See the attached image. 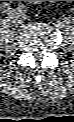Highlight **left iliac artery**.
Wrapping results in <instances>:
<instances>
[{"instance_id":"44dca946","label":"left iliac artery","mask_w":74,"mask_h":122,"mask_svg":"<svg viewBox=\"0 0 74 122\" xmlns=\"http://www.w3.org/2000/svg\"><path fill=\"white\" fill-rule=\"evenodd\" d=\"M19 11L22 12V13H27L28 12V7L22 5V6H20Z\"/></svg>"}]
</instances>
